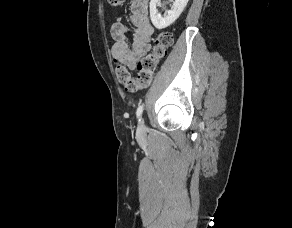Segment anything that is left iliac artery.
<instances>
[{"label": "left iliac artery", "instance_id": "obj_1", "mask_svg": "<svg viewBox=\"0 0 292 228\" xmlns=\"http://www.w3.org/2000/svg\"><path fill=\"white\" fill-rule=\"evenodd\" d=\"M142 112H143V105H139L137 110H136L137 118H140V116L142 115Z\"/></svg>", "mask_w": 292, "mask_h": 228}]
</instances>
